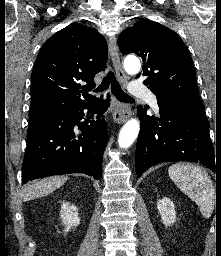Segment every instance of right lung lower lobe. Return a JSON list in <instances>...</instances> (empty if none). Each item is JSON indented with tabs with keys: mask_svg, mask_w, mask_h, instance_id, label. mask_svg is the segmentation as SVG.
I'll list each match as a JSON object with an SVG mask.
<instances>
[{
	"mask_svg": "<svg viewBox=\"0 0 221 256\" xmlns=\"http://www.w3.org/2000/svg\"><path fill=\"white\" fill-rule=\"evenodd\" d=\"M109 102V95L106 101L93 99L29 124L22 182L69 173H85L100 179L108 136L103 114ZM84 109L88 116L82 122ZM75 126L80 135L74 132Z\"/></svg>",
	"mask_w": 221,
	"mask_h": 256,
	"instance_id": "1",
	"label": "right lung lower lobe"
}]
</instances>
